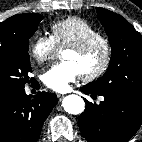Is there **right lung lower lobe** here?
<instances>
[{
    "mask_svg": "<svg viewBox=\"0 0 142 142\" xmlns=\"http://www.w3.org/2000/svg\"><path fill=\"white\" fill-rule=\"evenodd\" d=\"M55 94L38 92L32 98L20 90L0 104V142H35L44 121L57 104Z\"/></svg>",
    "mask_w": 142,
    "mask_h": 142,
    "instance_id": "1",
    "label": "right lung lower lobe"
}]
</instances>
